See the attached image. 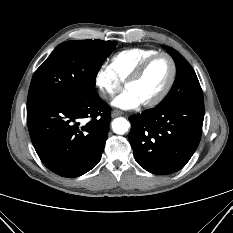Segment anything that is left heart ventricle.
I'll list each match as a JSON object with an SVG mask.
<instances>
[{
  "label": "left heart ventricle",
  "mask_w": 233,
  "mask_h": 233,
  "mask_svg": "<svg viewBox=\"0 0 233 233\" xmlns=\"http://www.w3.org/2000/svg\"><path fill=\"white\" fill-rule=\"evenodd\" d=\"M171 64L166 57H160L152 62L143 76L135 83L126 87L141 103L155 98L166 86L171 76Z\"/></svg>",
  "instance_id": "1"
}]
</instances>
